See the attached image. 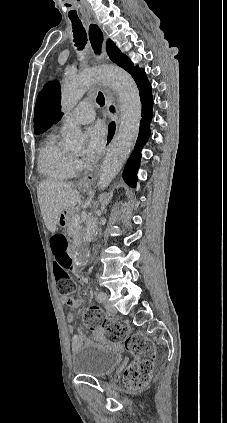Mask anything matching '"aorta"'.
<instances>
[{
  "label": "aorta",
  "mask_w": 227,
  "mask_h": 423,
  "mask_svg": "<svg viewBox=\"0 0 227 423\" xmlns=\"http://www.w3.org/2000/svg\"><path fill=\"white\" fill-rule=\"evenodd\" d=\"M97 80L103 81L117 91L119 96L120 125L101 166L98 187L104 189L120 171L128 157L139 133L141 120V102L139 91L133 78L123 69L115 66L97 67L81 74L66 76L61 88V106L67 114L75 107L89 86ZM64 144L68 148H79L84 143L81 129L68 122L64 131ZM97 217H92L86 224L83 245H88L96 236ZM83 252L84 249L82 248ZM87 258L81 255L78 264L86 265Z\"/></svg>",
  "instance_id": "obj_1"
}]
</instances>
